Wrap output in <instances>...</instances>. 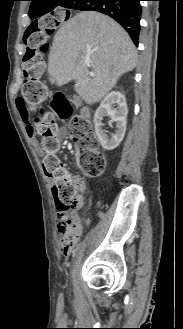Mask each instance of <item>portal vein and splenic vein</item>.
I'll use <instances>...</instances> for the list:
<instances>
[{
	"instance_id": "portal-vein-and-splenic-vein-1",
	"label": "portal vein and splenic vein",
	"mask_w": 183,
	"mask_h": 329,
	"mask_svg": "<svg viewBox=\"0 0 183 329\" xmlns=\"http://www.w3.org/2000/svg\"><path fill=\"white\" fill-rule=\"evenodd\" d=\"M90 75H91V76H94V73L90 72Z\"/></svg>"
}]
</instances>
